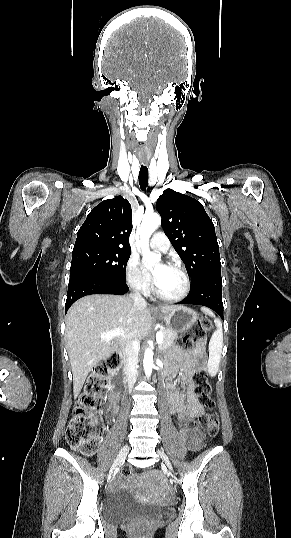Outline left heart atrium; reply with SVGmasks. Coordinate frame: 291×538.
Here are the masks:
<instances>
[{
  "label": "left heart atrium",
  "instance_id": "1",
  "mask_svg": "<svg viewBox=\"0 0 291 538\" xmlns=\"http://www.w3.org/2000/svg\"><path fill=\"white\" fill-rule=\"evenodd\" d=\"M165 267H166L165 265H161L160 270L154 271V272L152 273L151 277H152V280H153L154 283L157 282V280H158V278H159V275H160V271H161L163 268H165Z\"/></svg>",
  "mask_w": 291,
  "mask_h": 538
}]
</instances>
